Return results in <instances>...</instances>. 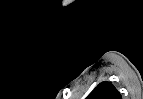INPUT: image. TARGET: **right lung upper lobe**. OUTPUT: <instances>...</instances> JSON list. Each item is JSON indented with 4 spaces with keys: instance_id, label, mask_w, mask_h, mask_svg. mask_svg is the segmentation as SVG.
Masks as SVG:
<instances>
[{
    "instance_id": "cb5924a9",
    "label": "right lung upper lobe",
    "mask_w": 143,
    "mask_h": 99,
    "mask_svg": "<svg viewBox=\"0 0 143 99\" xmlns=\"http://www.w3.org/2000/svg\"><path fill=\"white\" fill-rule=\"evenodd\" d=\"M86 99H121V94L111 82H101Z\"/></svg>"
}]
</instances>
